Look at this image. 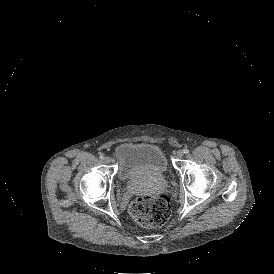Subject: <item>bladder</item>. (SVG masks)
Wrapping results in <instances>:
<instances>
[{
  "label": "bladder",
  "mask_w": 274,
  "mask_h": 274,
  "mask_svg": "<svg viewBox=\"0 0 274 274\" xmlns=\"http://www.w3.org/2000/svg\"><path fill=\"white\" fill-rule=\"evenodd\" d=\"M116 170L121 181L134 175L164 176L169 163L163 149L151 143L123 142L115 147Z\"/></svg>",
  "instance_id": "bladder-1"
}]
</instances>
